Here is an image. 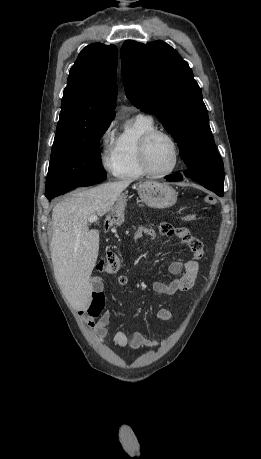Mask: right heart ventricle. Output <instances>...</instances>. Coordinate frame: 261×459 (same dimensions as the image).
<instances>
[{"instance_id":"obj_1","label":"right heart ventricle","mask_w":261,"mask_h":459,"mask_svg":"<svg viewBox=\"0 0 261 459\" xmlns=\"http://www.w3.org/2000/svg\"><path fill=\"white\" fill-rule=\"evenodd\" d=\"M156 129L151 117L137 116L114 141L112 148L117 169L116 176L121 179H135L146 175L139 159V143L149 131Z\"/></svg>"}]
</instances>
